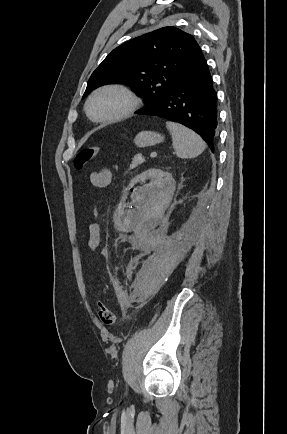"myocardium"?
Segmentation results:
<instances>
[{
    "label": "myocardium",
    "mask_w": 287,
    "mask_h": 434,
    "mask_svg": "<svg viewBox=\"0 0 287 434\" xmlns=\"http://www.w3.org/2000/svg\"><path fill=\"white\" fill-rule=\"evenodd\" d=\"M108 92H116L121 94L125 99L124 107L117 113L104 116L95 117L91 112L92 102L100 95ZM140 99L130 88L121 84H106L93 90L88 96L85 103V111L90 120L95 123L108 124L124 120L131 116L139 107Z\"/></svg>",
    "instance_id": "1"
}]
</instances>
